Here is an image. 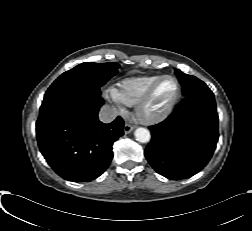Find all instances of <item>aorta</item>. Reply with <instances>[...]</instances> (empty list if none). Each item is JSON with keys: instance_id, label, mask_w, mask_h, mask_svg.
Here are the masks:
<instances>
[{"instance_id": "1", "label": "aorta", "mask_w": 252, "mask_h": 231, "mask_svg": "<svg viewBox=\"0 0 252 231\" xmlns=\"http://www.w3.org/2000/svg\"><path fill=\"white\" fill-rule=\"evenodd\" d=\"M135 138L141 143H147L151 139V135L148 129L146 128H137L134 132Z\"/></svg>"}]
</instances>
